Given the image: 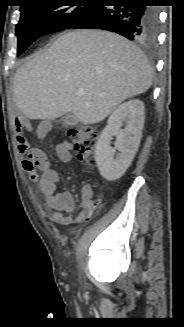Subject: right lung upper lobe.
<instances>
[{"mask_svg":"<svg viewBox=\"0 0 184 327\" xmlns=\"http://www.w3.org/2000/svg\"><path fill=\"white\" fill-rule=\"evenodd\" d=\"M41 1H43V0H22V3H24V4L21 6V10L27 6H30L32 4H35V3H38Z\"/></svg>","mask_w":184,"mask_h":327,"instance_id":"obj_1","label":"right lung upper lobe"}]
</instances>
